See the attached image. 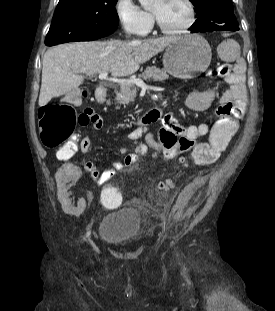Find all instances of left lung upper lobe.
<instances>
[{
    "instance_id": "1",
    "label": "left lung upper lobe",
    "mask_w": 275,
    "mask_h": 311,
    "mask_svg": "<svg viewBox=\"0 0 275 311\" xmlns=\"http://www.w3.org/2000/svg\"><path fill=\"white\" fill-rule=\"evenodd\" d=\"M199 18L192 25L196 31H237L238 22L233 14L231 0H190Z\"/></svg>"
}]
</instances>
